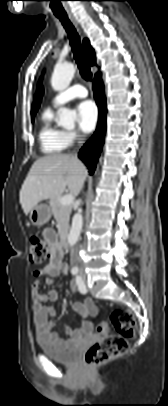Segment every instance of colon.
Here are the masks:
<instances>
[{"instance_id":"1","label":"colon","mask_w":168,"mask_h":406,"mask_svg":"<svg viewBox=\"0 0 168 406\" xmlns=\"http://www.w3.org/2000/svg\"><path fill=\"white\" fill-rule=\"evenodd\" d=\"M51 245L40 237L34 235L29 239V258L33 264H41L51 256ZM114 327L116 334L109 333ZM97 330L104 337L96 341L85 354L84 366L101 365L122 356L128 350V339L133 337L137 330L134 314L128 310H115L110 317L101 322Z\"/></svg>"}]
</instances>
